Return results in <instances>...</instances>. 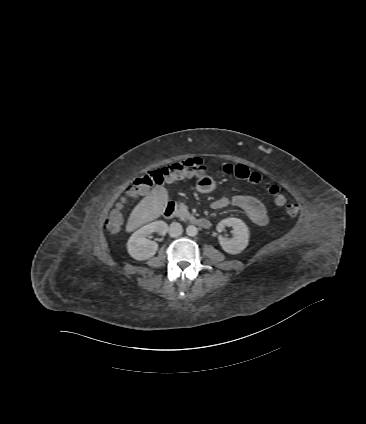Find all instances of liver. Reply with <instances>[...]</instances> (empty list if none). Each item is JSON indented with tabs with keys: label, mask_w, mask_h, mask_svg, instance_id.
<instances>
[{
	"label": "liver",
	"mask_w": 366,
	"mask_h": 424,
	"mask_svg": "<svg viewBox=\"0 0 366 424\" xmlns=\"http://www.w3.org/2000/svg\"><path fill=\"white\" fill-rule=\"evenodd\" d=\"M168 192L163 186H157L133 209L126 225V231L132 232L138 227L160 217L168 204Z\"/></svg>",
	"instance_id": "1"
}]
</instances>
